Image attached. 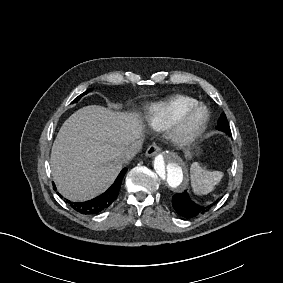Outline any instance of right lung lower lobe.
<instances>
[{"instance_id":"right-lung-lower-lobe-1","label":"right lung lower lobe","mask_w":283,"mask_h":283,"mask_svg":"<svg viewBox=\"0 0 283 283\" xmlns=\"http://www.w3.org/2000/svg\"><path fill=\"white\" fill-rule=\"evenodd\" d=\"M127 171V168L122 169L112 186L102 195L85 202H71L66 201L76 211L82 214H98L109 207L112 202L117 198L121 187L122 179ZM54 189H56L54 187ZM59 195V193H57Z\"/></svg>"}]
</instances>
